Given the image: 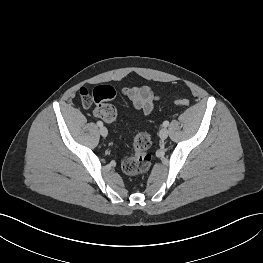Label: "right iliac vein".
Instances as JSON below:
<instances>
[{"mask_svg": "<svg viewBox=\"0 0 263 263\" xmlns=\"http://www.w3.org/2000/svg\"><path fill=\"white\" fill-rule=\"evenodd\" d=\"M99 133H100V135L101 136H103V137H106L107 135H108V130H107V128L106 127H100V129H99Z\"/></svg>", "mask_w": 263, "mask_h": 263, "instance_id": "right-iliac-vein-1", "label": "right iliac vein"}]
</instances>
